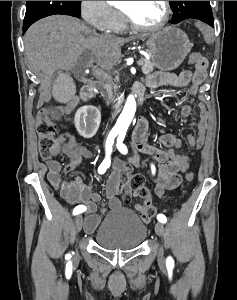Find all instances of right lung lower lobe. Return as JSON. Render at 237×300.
<instances>
[{"mask_svg":"<svg viewBox=\"0 0 237 300\" xmlns=\"http://www.w3.org/2000/svg\"><path fill=\"white\" fill-rule=\"evenodd\" d=\"M71 16V15H70ZM31 26V23L23 24V33L26 32V30Z\"/></svg>","mask_w":237,"mask_h":300,"instance_id":"1","label":"right lung lower lobe"}]
</instances>
